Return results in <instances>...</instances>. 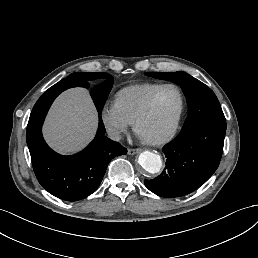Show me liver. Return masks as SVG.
<instances>
[{
    "label": "liver",
    "instance_id": "1",
    "mask_svg": "<svg viewBox=\"0 0 258 258\" xmlns=\"http://www.w3.org/2000/svg\"><path fill=\"white\" fill-rule=\"evenodd\" d=\"M98 116L88 90L72 88L53 103L43 135L54 150L72 153L84 148L95 136Z\"/></svg>",
    "mask_w": 258,
    "mask_h": 258
}]
</instances>
